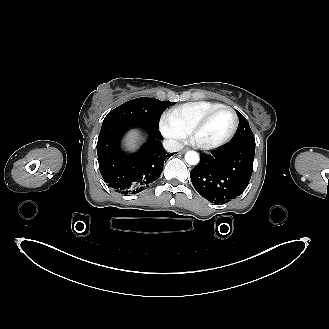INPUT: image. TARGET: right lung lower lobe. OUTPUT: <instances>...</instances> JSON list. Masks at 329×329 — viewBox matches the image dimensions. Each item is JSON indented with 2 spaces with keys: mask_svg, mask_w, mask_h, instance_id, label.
<instances>
[{
  "mask_svg": "<svg viewBox=\"0 0 329 329\" xmlns=\"http://www.w3.org/2000/svg\"><path fill=\"white\" fill-rule=\"evenodd\" d=\"M133 126L136 125L105 124L97 142L100 173L108 186L121 194H135L148 188L161 175L165 159L172 155L162 148L160 131L146 126H143L149 133L146 144L134 154L123 152L121 138Z\"/></svg>",
  "mask_w": 329,
  "mask_h": 329,
  "instance_id": "obj_1",
  "label": "right lung lower lobe"
}]
</instances>
